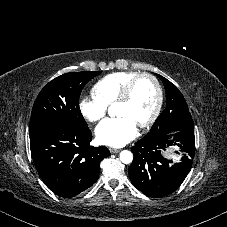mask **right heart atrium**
<instances>
[{
	"instance_id": "1",
	"label": "right heart atrium",
	"mask_w": 227,
	"mask_h": 227,
	"mask_svg": "<svg viewBox=\"0 0 227 227\" xmlns=\"http://www.w3.org/2000/svg\"><path fill=\"white\" fill-rule=\"evenodd\" d=\"M107 105L95 94L83 96L79 102L81 115L89 122H97L107 112Z\"/></svg>"
}]
</instances>
